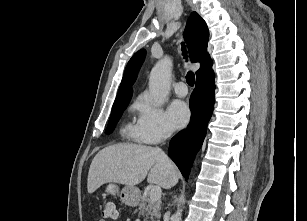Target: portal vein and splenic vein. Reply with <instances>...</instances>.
Listing matches in <instances>:
<instances>
[{
    "instance_id": "18ae733b",
    "label": "portal vein and splenic vein",
    "mask_w": 307,
    "mask_h": 221,
    "mask_svg": "<svg viewBox=\"0 0 307 221\" xmlns=\"http://www.w3.org/2000/svg\"><path fill=\"white\" fill-rule=\"evenodd\" d=\"M161 193H162V190L160 188V186L156 185V186H153L150 190V199L152 201H158L160 200L161 198Z\"/></svg>"
}]
</instances>
